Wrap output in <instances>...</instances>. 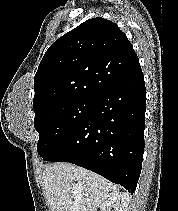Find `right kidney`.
Here are the masks:
<instances>
[{"label":"right kidney","mask_w":178,"mask_h":211,"mask_svg":"<svg viewBox=\"0 0 178 211\" xmlns=\"http://www.w3.org/2000/svg\"><path fill=\"white\" fill-rule=\"evenodd\" d=\"M128 204L129 195L125 192H120L103 202L100 206V211H110L111 208L114 211H127Z\"/></svg>","instance_id":"ca27d5eb"}]
</instances>
